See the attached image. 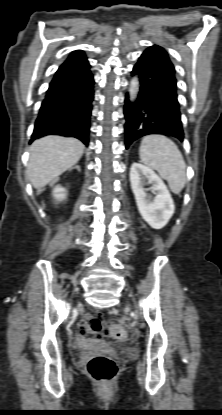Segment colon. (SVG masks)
<instances>
[{"label": "colon", "instance_id": "obj_1", "mask_svg": "<svg viewBox=\"0 0 222 415\" xmlns=\"http://www.w3.org/2000/svg\"><path fill=\"white\" fill-rule=\"evenodd\" d=\"M79 331L95 337H102L112 334L117 339L127 337L126 330L120 325L115 324L109 329L99 317L85 316L79 323ZM87 373L96 381L110 382L117 373V364L109 356L99 355L92 357L86 365Z\"/></svg>", "mask_w": 222, "mask_h": 415}]
</instances>
